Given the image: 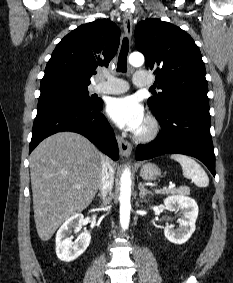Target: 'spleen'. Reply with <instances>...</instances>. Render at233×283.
Wrapping results in <instances>:
<instances>
[{
  "label": "spleen",
  "mask_w": 233,
  "mask_h": 283,
  "mask_svg": "<svg viewBox=\"0 0 233 283\" xmlns=\"http://www.w3.org/2000/svg\"><path fill=\"white\" fill-rule=\"evenodd\" d=\"M171 159L180 163L183 176L191 179L198 187H207L209 178L203 168L192 158L183 154H172Z\"/></svg>",
  "instance_id": "1"
}]
</instances>
